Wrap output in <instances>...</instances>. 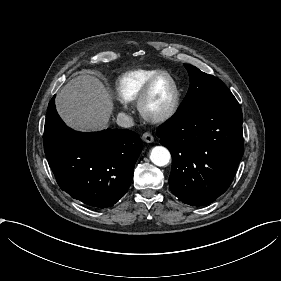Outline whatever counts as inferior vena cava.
<instances>
[{"instance_id": "inferior-vena-cava-1", "label": "inferior vena cava", "mask_w": 281, "mask_h": 281, "mask_svg": "<svg viewBox=\"0 0 281 281\" xmlns=\"http://www.w3.org/2000/svg\"><path fill=\"white\" fill-rule=\"evenodd\" d=\"M116 123L119 126L125 127V128L134 126L133 118L131 116L126 115L125 113H119L117 115Z\"/></svg>"}]
</instances>
